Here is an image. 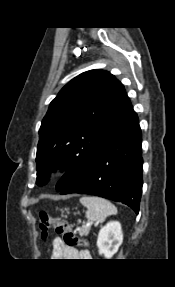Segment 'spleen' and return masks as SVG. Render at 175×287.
<instances>
[{
  "label": "spleen",
  "mask_w": 175,
  "mask_h": 287,
  "mask_svg": "<svg viewBox=\"0 0 175 287\" xmlns=\"http://www.w3.org/2000/svg\"><path fill=\"white\" fill-rule=\"evenodd\" d=\"M80 203L87 208L86 218L103 223L110 215L117 214V208L107 199L96 196H83Z\"/></svg>",
  "instance_id": "1"
}]
</instances>
